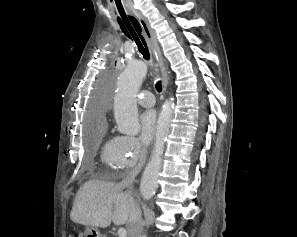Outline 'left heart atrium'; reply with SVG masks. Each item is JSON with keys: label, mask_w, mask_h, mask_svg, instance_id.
Returning <instances> with one entry per match:
<instances>
[{"label": "left heart atrium", "mask_w": 297, "mask_h": 237, "mask_svg": "<svg viewBox=\"0 0 297 237\" xmlns=\"http://www.w3.org/2000/svg\"><path fill=\"white\" fill-rule=\"evenodd\" d=\"M140 122V138L148 144L153 139L157 128V114L154 110H146L139 119Z\"/></svg>", "instance_id": "obj_1"}]
</instances>
